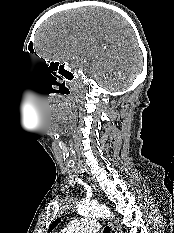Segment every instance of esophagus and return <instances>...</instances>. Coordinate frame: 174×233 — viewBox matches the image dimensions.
I'll return each mask as SVG.
<instances>
[{
	"label": "esophagus",
	"instance_id": "obj_1",
	"mask_svg": "<svg viewBox=\"0 0 174 233\" xmlns=\"http://www.w3.org/2000/svg\"><path fill=\"white\" fill-rule=\"evenodd\" d=\"M109 226H110V228H111V233H114V228H113V225H112L111 222H109Z\"/></svg>",
	"mask_w": 174,
	"mask_h": 233
}]
</instances>
